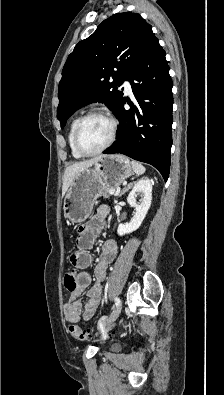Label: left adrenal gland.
Returning a JSON list of instances; mask_svg holds the SVG:
<instances>
[{"label":"left adrenal gland","mask_w":224,"mask_h":395,"mask_svg":"<svg viewBox=\"0 0 224 395\" xmlns=\"http://www.w3.org/2000/svg\"><path fill=\"white\" fill-rule=\"evenodd\" d=\"M133 185V183L129 184L127 187L123 188V190L121 191V193L119 194V196L123 195L128 189L131 188V186Z\"/></svg>","instance_id":"a2214340"}]
</instances>
